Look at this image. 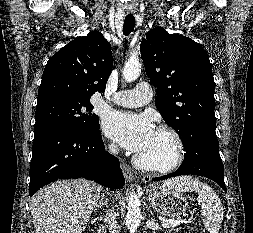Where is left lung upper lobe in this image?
<instances>
[{
  "instance_id": "left-lung-upper-lobe-1",
  "label": "left lung upper lobe",
  "mask_w": 253,
  "mask_h": 233,
  "mask_svg": "<svg viewBox=\"0 0 253 233\" xmlns=\"http://www.w3.org/2000/svg\"><path fill=\"white\" fill-rule=\"evenodd\" d=\"M140 52L145 71L156 88V108L182 143L199 129L215 131V83L202 46L156 27L142 40Z\"/></svg>"
}]
</instances>
